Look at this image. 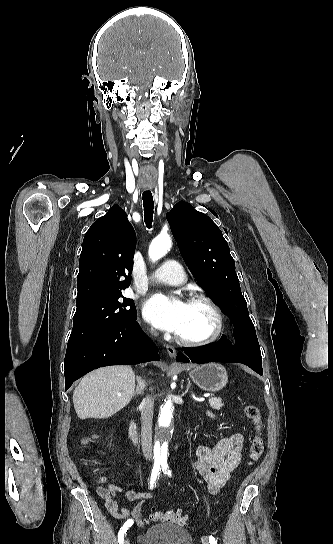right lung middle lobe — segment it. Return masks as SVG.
Listing matches in <instances>:
<instances>
[{
  "label": "right lung middle lobe",
  "mask_w": 333,
  "mask_h": 544,
  "mask_svg": "<svg viewBox=\"0 0 333 544\" xmlns=\"http://www.w3.org/2000/svg\"><path fill=\"white\" fill-rule=\"evenodd\" d=\"M122 291L98 293L76 300L77 309L67 347L119 327L136 317L134 301L125 298Z\"/></svg>",
  "instance_id": "obj_1"
}]
</instances>
